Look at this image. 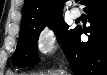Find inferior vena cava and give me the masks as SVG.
Instances as JSON below:
<instances>
[{
  "label": "inferior vena cava",
  "mask_w": 107,
  "mask_h": 75,
  "mask_svg": "<svg viewBox=\"0 0 107 75\" xmlns=\"http://www.w3.org/2000/svg\"><path fill=\"white\" fill-rule=\"evenodd\" d=\"M59 74H60V75H65V72H64L63 70H60V71H59Z\"/></svg>",
  "instance_id": "1"
}]
</instances>
